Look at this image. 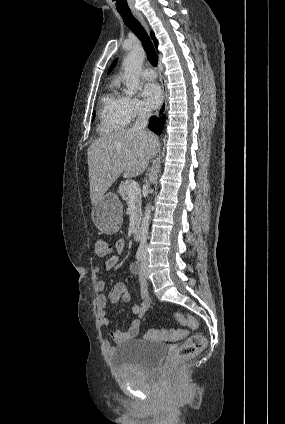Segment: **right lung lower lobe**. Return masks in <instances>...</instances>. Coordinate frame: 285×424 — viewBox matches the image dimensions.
<instances>
[{
  "label": "right lung lower lobe",
  "instance_id": "right-lung-lower-lobe-1",
  "mask_svg": "<svg viewBox=\"0 0 285 424\" xmlns=\"http://www.w3.org/2000/svg\"><path fill=\"white\" fill-rule=\"evenodd\" d=\"M164 119L165 117H160L159 120L157 118H151V122L149 124V128L155 132L156 134H160L162 132L163 126H164Z\"/></svg>",
  "mask_w": 285,
  "mask_h": 424
}]
</instances>
